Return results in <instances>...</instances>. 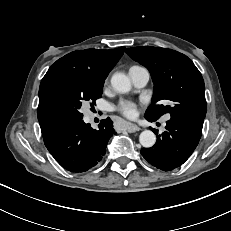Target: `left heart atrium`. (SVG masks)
Listing matches in <instances>:
<instances>
[{"label":"left heart atrium","mask_w":231,"mask_h":231,"mask_svg":"<svg viewBox=\"0 0 231 231\" xmlns=\"http://www.w3.org/2000/svg\"><path fill=\"white\" fill-rule=\"evenodd\" d=\"M117 109L128 118H133L137 112L136 104L130 101H121Z\"/></svg>","instance_id":"39dd6f15"}]
</instances>
